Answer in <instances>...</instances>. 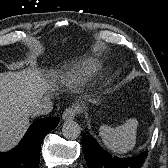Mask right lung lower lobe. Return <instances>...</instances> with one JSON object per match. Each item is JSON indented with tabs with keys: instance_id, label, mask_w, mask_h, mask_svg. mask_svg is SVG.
<instances>
[{
	"instance_id": "1",
	"label": "right lung lower lobe",
	"mask_w": 168,
	"mask_h": 168,
	"mask_svg": "<svg viewBox=\"0 0 168 168\" xmlns=\"http://www.w3.org/2000/svg\"><path fill=\"white\" fill-rule=\"evenodd\" d=\"M59 120V117H48L35 121L18 146L0 153V168H38L41 141L57 126Z\"/></svg>"
}]
</instances>
